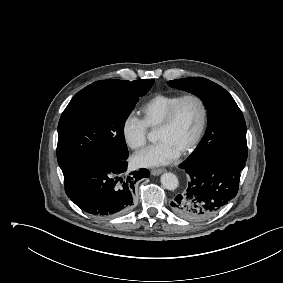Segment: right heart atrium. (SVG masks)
<instances>
[{"mask_svg":"<svg viewBox=\"0 0 283 283\" xmlns=\"http://www.w3.org/2000/svg\"><path fill=\"white\" fill-rule=\"evenodd\" d=\"M121 133L124 142L132 150H139L147 143L148 128L143 120L133 113L124 118Z\"/></svg>","mask_w":283,"mask_h":283,"instance_id":"d8ad5b80","label":"right heart atrium"}]
</instances>
